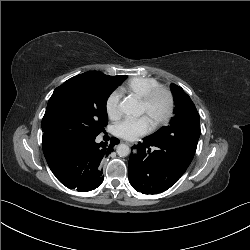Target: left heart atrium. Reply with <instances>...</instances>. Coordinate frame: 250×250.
<instances>
[{"mask_svg":"<svg viewBox=\"0 0 250 250\" xmlns=\"http://www.w3.org/2000/svg\"><path fill=\"white\" fill-rule=\"evenodd\" d=\"M152 129V121L148 116L139 118H125L114 126V133L126 140H135L149 133Z\"/></svg>","mask_w":250,"mask_h":250,"instance_id":"1","label":"left heart atrium"}]
</instances>
